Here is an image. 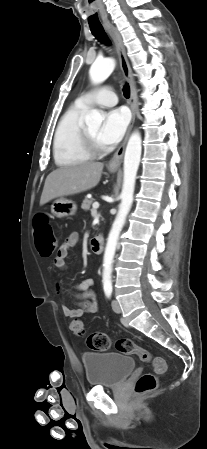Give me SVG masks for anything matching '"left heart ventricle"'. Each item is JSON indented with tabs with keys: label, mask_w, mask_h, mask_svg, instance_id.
Masks as SVG:
<instances>
[{
	"label": "left heart ventricle",
	"mask_w": 207,
	"mask_h": 449,
	"mask_svg": "<svg viewBox=\"0 0 207 449\" xmlns=\"http://www.w3.org/2000/svg\"><path fill=\"white\" fill-rule=\"evenodd\" d=\"M86 129L88 131V133L91 135V137L97 141L98 143L102 144L99 140V132H100V126L99 125H95V126H86Z\"/></svg>",
	"instance_id": "left-heart-ventricle-1"
}]
</instances>
